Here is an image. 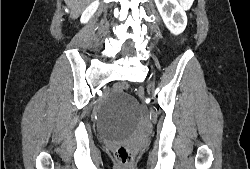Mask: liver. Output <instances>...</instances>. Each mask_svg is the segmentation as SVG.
I'll use <instances>...</instances> for the list:
<instances>
[{
	"label": "liver",
	"mask_w": 250,
	"mask_h": 169,
	"mask_svg": "<svg viewBox=\"0 0 250 169\" xmlns=\"http://www.w3.org/2000/svg\"><path fill=\"white\" fill-rule=\"evenodd\" d=\"M70 8V18H78L82 10L90 4L91 0H65Z\"/></svg>",
	"instance_id": "1"
}]
</instances>
